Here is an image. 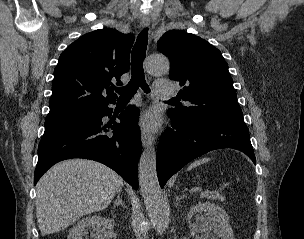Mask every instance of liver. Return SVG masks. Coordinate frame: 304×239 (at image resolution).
Wrapping results in <instances>:
<instances>
[{"label":"liver","instance_id":"liver-1","mask_svg":"<svg viewBox=\"0 0 304 239\" xmlns=\"http://www.w3.org/2000/svg\"><path fill=\"white\" fill-rule=\"evenodd\" d=\"M123 179L107 166L83 159L59 162L36 186V216L42 235L64 230L83 215L103 210Z\"/></svg>","mask_w":304,"mask_h":239}]
</instances>
